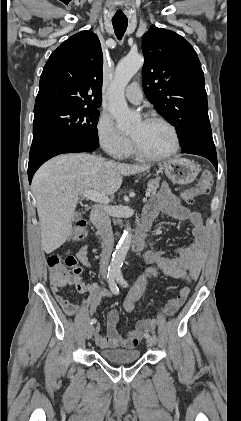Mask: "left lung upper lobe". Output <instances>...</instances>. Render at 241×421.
<instances>
[{
    "mask_svg": "<svg viewBox=\"0 0 241 421\" xmlns=\"http://www.w3.org/2000/svg\"><path fill=\"white\" fill-rule=\"evenodd\" d=\"M143 87L158 113L177 130L182 149L212 136L204 74L182 36L151 26L142 37Z\"/></svg>",
    "mask_w": 241,
    "mask_h": 421,
    "instance_id": "1",
    "label": "left lung upper lobe"
}]
</instances>
